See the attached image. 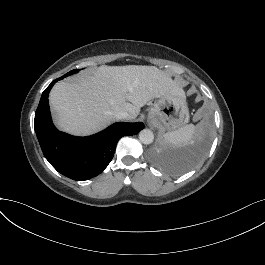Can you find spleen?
Wrapping results in <instances>:
<instances>
[{"label":"spleen","mask_w":265,"mask_h":265,"mask_svg":"<svg viewBox=\"0 0 265 265\" xmlns=\"http://www.w3.org/2000/svg\"><path fill=\"white\" fill-rule=\"evenodd\" d=\"M197 127L193 124L185 125L175 131L163 134L165 143L173 148L187 146L194 142Z\"/></svg>","instance_id":"spleen-1"}]
</instances>
